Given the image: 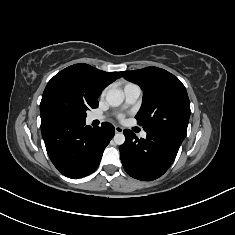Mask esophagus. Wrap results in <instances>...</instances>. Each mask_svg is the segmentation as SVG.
<instances>
[{"label":"esophagus","instance_id":"34e87169","mask_svg":"<svg viewBox=\"0 0 235 235\" xmlns=\"http://www.w3.org/2000/svg\"><path fill=\"white\" fill-rule=\"evenodd\" d=\"M115 132L116 133H122L123 132V128L120 126H115Z\"/></svg>","mask_w":235,"mask_h":235}]
</instances>
